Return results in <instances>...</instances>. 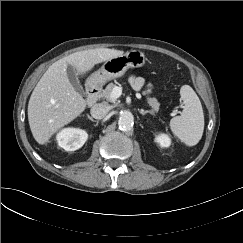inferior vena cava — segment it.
I'll return each instance as SVG.
<instances>
[{
	"label": "inferior vena cava",
	"instance_id": "obj_1",
	"mask_svg": "<svg viewBox=\"0 0 243 243\" xmlns=\"http://www.w3.org/2000/svg\"><path fill=\"white\" fill-rule=\"evenodd\" d=\"M90 113L95 119H103L107 115L108 109L103 104H95L92 106Z\"/></svg>",
	"mask_w": 243,
	"mask_h": 243
}]
</instances>
